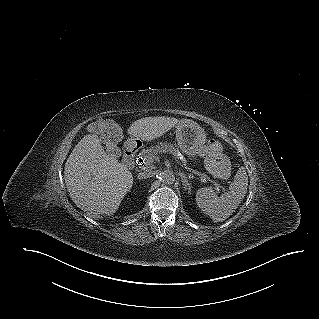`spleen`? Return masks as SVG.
<instances>
[{
  "instance_id": "1",
  "label": "spleen",
  "mask_w": 319,
  "mask_h": 319,
  "mask_svg": "<svg viewBox=\"0 0 319 319\" xmlns=\"http://www.w3.org/2000/svg\"><path fill=\"white\" fill-rule=\"evenodd\" d=\"M248 176L244 167H240L229 191L220 197L209 188H201L196 193L198 207L214 222H223L238 208L247 193Z\"/></svg>"
}]
</instances>
